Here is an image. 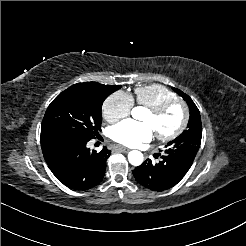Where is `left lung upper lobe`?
Instances as JSON below:
<instances>
[{
  "label": "left lung upper lobe",
  "instance_id": "left-lung-upper-lobe-1",
  "mask_svg": "<svg viewBox=\"0 0 246 246\" xmlns=\"http://www.w3.org/2000/svg\"><path fill=\"white\" fill-rule=\"evenodd\" d=\"M173 90L182 96L189 105L190 118L187 129L180 136L165 146V153L182 157L188 162L193 163L194 158L199 150L202 138L200 112L188 95L176 88H173Z\"/></svg>",
  "mask_w": 246,
  "mask_h": 246
}]
</instances>
